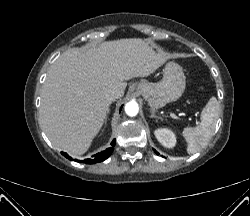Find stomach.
<instances>
[{"mask_svg": "<svg viewBox=\"0 0 250 216\" xmlns=\"http://www.w3.org/2000/svg\"><path fill=\"white\" fill-rule=\"evenodd\" d=\"M185 79L182 67L169 62L159 82L142 81L136 86V92L143 96L151 108L159 109L182 96L186 87Z\"/></svg>", "mask_w": 250, "mask_h": 216, "instance_id": "0dacf381", "label": "stomach"}]
</instances>
